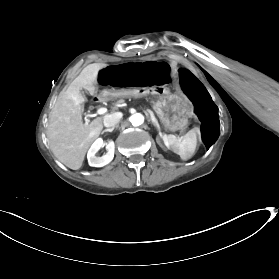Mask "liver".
<instances>
[{
  "mask_svg": "<svg viewBox=\"0 0 279 279\" xmlns=\"http://www.w3.org/2000/svg\"><path fill=\"white\" fill-rule=\"evenodd\" d=\"M101 68L90 64L74 79L68 89L59 94L49 113L47 137L54 156L72 170H79L85 155L103 129L104 115L89 124L82 122V104L85 98L80 93L84 88L94 96Z\"/></svg>",
  "mask_w": 279,
  "mask_h": 279,
  "instance_id": "6515ba94",
  "label": "liver"
}]
</instances>
